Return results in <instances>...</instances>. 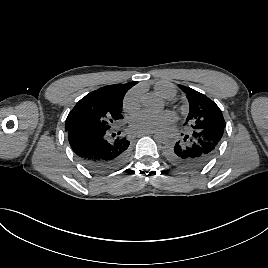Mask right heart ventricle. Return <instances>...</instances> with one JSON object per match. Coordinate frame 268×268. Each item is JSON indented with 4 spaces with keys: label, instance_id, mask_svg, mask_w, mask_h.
<instances>
[{
    "label": "right heart ventricle",
    "instance_id": "e07e8e85",
    "mask_svg": "<svg viewBox=\"0 0 268 268\" xmlns=\"http://www.w3.org/2000/svg\"><path fill=\"white\" fill-rule=\"evenodd\" d=\"M155 90L159 95L168 100L172 99L175 95L174 88L167 83L163 82L157 83L155 86Z\"/></svg>",
    "mask_w": 268,
    "mask_h": 268
}]
</instances>
